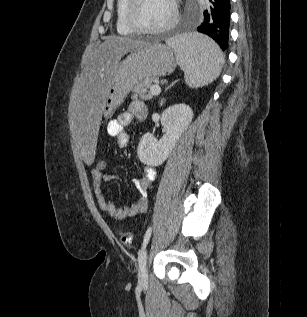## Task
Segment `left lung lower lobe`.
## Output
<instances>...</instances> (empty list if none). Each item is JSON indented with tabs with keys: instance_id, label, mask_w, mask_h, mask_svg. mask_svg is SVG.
I'll use <instances>...</instances> for the list:
<instances>
[{
	"instance_id": "0a47b994",
	"label": "left lung lower lobe",
	"mask_w": 307,
	"mask_h": 317,
	"mask_svg": "<svg viewBox=\"0 0 307 317\" xmlns=\"http://www.w3.org/2000/svg\"><path fill=\"white\" fill-rule=\"evenodd\" d=\"M206 9L197 31L214 39L226 50L229 38L230 0H205Z\"/></svg>"
}]
</instances>
